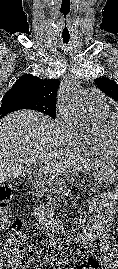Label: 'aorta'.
Wrapping results in <instances>:
<instances>
[{"label":"aorta","instance_id":"762f6f07","mask_svg":"<svg viewBox=\"0 0 118 269\" xmlns=\"http://www.w3.org/2000/svg\"><path fill=\"white\" fill-rule=\"evenodd\" d=\"M59 99L61 108L71 115L83 129L90 130L94 128V121L82 101L80 82L75 76H69L63 81ZM51 242L54 246L55 243L52 238Z\"/></svg>","mask_w":118,"mask_h":269}]
</instances>
